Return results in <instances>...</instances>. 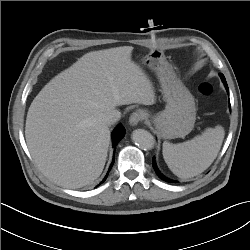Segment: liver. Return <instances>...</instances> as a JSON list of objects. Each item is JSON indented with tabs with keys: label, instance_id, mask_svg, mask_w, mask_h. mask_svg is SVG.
<instances>
[{
	"label": "liver",
	"instance_id": "1",
	"mask_svg": "<svg viewBox=\"0 0 250 250\" xmlns=\"http://www.w3.org/2000/svg\"><path fill=\"white\" fill-rule=\"evenodd\" d=\"M123 46L83 55L47 83L31 103L25 138L40 171L76 189L102 173L110 144L105 114L117 106L155 101L151 81Z\"/></svg>",
	"mask_w": 250,
	"mask_h": 250
}]
</instances>
